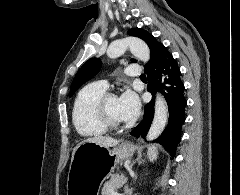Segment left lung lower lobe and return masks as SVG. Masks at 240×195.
<instances>
[{
    "label": "left lung lower lobe",
    "instance_id": "left-lung-lower-lobe-1",
    "mask_svg": "<svg viewBox=\"0 0 240 195\" xmlns=\"http://www.w3.org/2000/svg\"><path fill=\"white\" fill-rule=\"evenodd\" d=\"M147 90L153 95L158 90L162 92L168 104V125L155 140L175 156L176 146L181 140V128L185 122V107L187 100L184 96L185 87L181 80V72L176 60L170 54L148 73ZM154 99L144 106L142 121L131 131V135L145 138L154 117Z\"/></svg>",
    "mask_w": 240,
    "mask_h": 195
}]
</instances>
